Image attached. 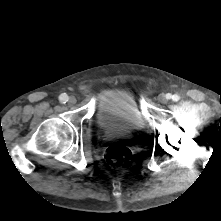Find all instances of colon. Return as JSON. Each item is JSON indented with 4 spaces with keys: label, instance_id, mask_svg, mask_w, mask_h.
Wrapping results in <instances>:
<instances>
[{
    "label": "colon",
    "instance_id": "obj_1",
    "mask_svg": "<svg viewBox=\"0 0 221 221\" xmlns=\"http://www.w3.org/2000/svg\"><path fill=\"white\" fill-rule=\"evenodd\" d=\"M131 156V150L119 143L108 146L104 154L106 163L114 168L125 166L130 161Z\"/></svg>",
    "mask_w": 221,
    "mask_h": 221
}]
</instances>
